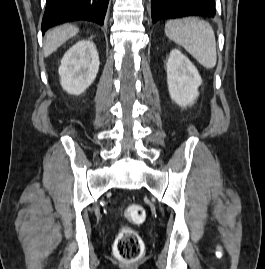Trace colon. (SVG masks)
<instances>
[{
	"label": "colon",
	"instance_id": "colon-1",
	"mask_svg": "<svg viewBox=\"0 0 265 269\" xmlns=\"http://www.w3.org/2000/svg\"><path fill=\"white\" fill-rule=\"evenodd\" d=\"M127 218L132 223H140L145 218V210L140 204H130L126 210ZM143 244L138 233L129 227H123L119 232L114 251L116 256L125 262H135L141 255Z\"/></svg>",
	"mask_w": 265,
	"mask_h": 269
}]
</instances>
